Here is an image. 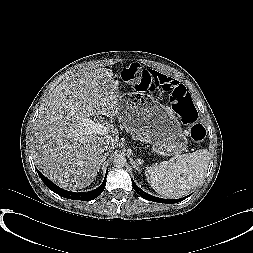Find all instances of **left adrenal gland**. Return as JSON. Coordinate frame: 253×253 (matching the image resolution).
Instances as JSON below:
<instances>
[{
    "label": "left adrenal gland",
    "instance_id": "obj_1",
    "mask_svg": "<svg viewBox=\"0 0 253 253\" xmlns=\"http://www.w3.org/2000/svg\"><path fill=\"white\" fill-rule=\"evenodd\" d=\"M132 160V159H131ZM133 163L135 164V161H133ZM134 168L136 169V170H138V171H140V169H139V166L137 165H134Z\"/></svg>",
    "mask_w": 253,
    "mask_h": 253
}]
</instances>
